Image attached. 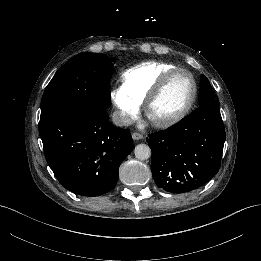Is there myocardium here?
I'll list each match as a JSON object with an SVG mask.
<instances>
[{"mask_svg": "<svg viewBox=\"0 0 261 261\" xmlns=\"http://www.w3.org/2000/svg\"><path fill=\"white\" fill-rule=\"evenodd\" d=\"M178 73H184L186 74L191 83H192V95L189 99V101L187 102V104L183 107V109L178 112L177 114L165 118V119H154L151 116V108L153 107V105L155 104V102L161 97V95L163 94L164 90L167 88V86L169 85L171 79ZM197 93H198V87H197V83L196 80L193 76V74L183 68H174L168 72H166L163 77L159 80V82L154 86V88L151 90V92L149 93V95L147 96L145 102H144V113L145 116L147 117V119L149 120V122L156 128H167L170 127L178 122H180L183 118L186 117V115L190 112V110L192 109L195 101H196V97H197Z\"/></svg>", "mask_w": 261, "mask_h": 261, "instance_id": "f54148a6", "label": "myocardium"}]
</instances>
